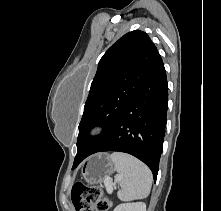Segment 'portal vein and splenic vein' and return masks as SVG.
Returning <instances> with one entry per match:
<instances>
[{"instance_id":"obj_1","label":"portal vein and splenic vein","mask_w":221,"mask_h":211,"mask_svg":"<svg viewBox=\"0 0 221 211\" xmlns=\"http://www.w3.org/2000/svg\"><path fill=\"white\" fill-rule=\"evenodd\" d=\"M119 179H120V177H119V176H116L114 183H111V182H109V181H106V182H105V185H106V187H107V191H108L109 193L112 192L113 186L118 182Z\"/></svg>"}]
</instances>
